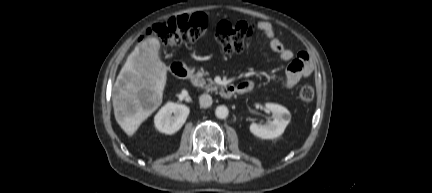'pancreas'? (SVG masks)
Instances as JSON below:
<instances>
[{
    "instance_id": "cf45deb5",
    "label": "pancreas",
    "mask_w": 432,
    "mask_h": 193,
    "mask_svg": "<svg viewBox=\"0 0 432 193\" xmlns=\"http://www.w3.org/2000/svg\"><path fill=\"white\" fill-rule=\"evenodd\" d=\"M206 75L205 73L202 72H198L196 74V77L193 80V84L195 86L198 87H203L205 88L207 91H216L217 90V85L212 81L211 78H208L207 81L209 82L208 84H206V80L203 78V76Z\"/></svg>"
}]
</instances>
